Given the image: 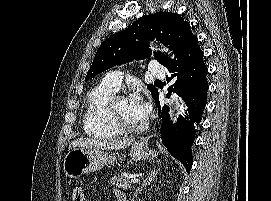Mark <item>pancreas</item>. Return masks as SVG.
<instances>
[{"instance_id":"1","label":"pancreas","mask_w":271,"mask_h":201,"mask_svg":"<svg viewBox=\"0 0 271 201\" xmlns=\"http://www.w3.org/2000/svg\"><path fill=\"white\" fill-rule=\"evenodd\" d=\"M111 184L123 190L131 188V182L126 174H121L119 177L116 176L112 177Z\"/></svg>"}]
</instances>
